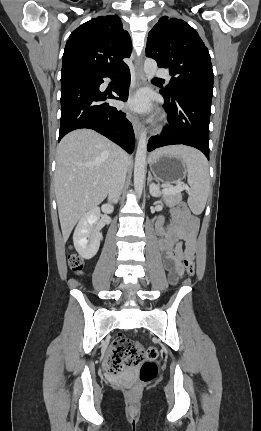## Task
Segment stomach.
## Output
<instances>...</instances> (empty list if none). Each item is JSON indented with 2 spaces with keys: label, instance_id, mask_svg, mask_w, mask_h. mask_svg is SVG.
I'll use <instances>...</instances> for the list:
<instances>
[{
  "label": "stomach",
  "instance_id": "0dacf381",
  "mask_svg": "<svg viewBox=\"0 0 261 431\" xmlns=\"http://www.w3.org/2000/svg\"><path fill=\"white\" fill-rule=\"evenodd\" d=\"M151 172L156 180L166 184L181 182L187 173L180 158L168 154L153 157L150 161Z\"/></svg>",
  "mask_w": 261,
  "mask_h": 431
}]
</instances>
